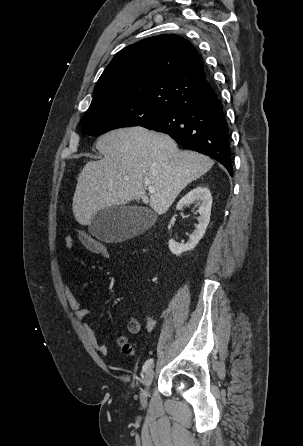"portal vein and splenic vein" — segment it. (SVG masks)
I'll return each mask as SVG.
<instances>
[{
  "mask_svg": "<svg viewBox=\"0 0 303 446\" xmlns=\"http://www.w3.org/2000/svg\"><path fill=\"white\" fill-rule=\"evenodd\" d=\"M144 183H145V186L148 187L149 192H151V193H154V192H155L154 187L151 185V182H150L148 179H146V180L144 181Z\"/></svg>",
  "mask_w": 303,
  "mask_h": 446,
  "instance_id": "portal-vein-and-splenic-vein-1",
  "label": "portal vein and splenic vein"
}]
</instances>
